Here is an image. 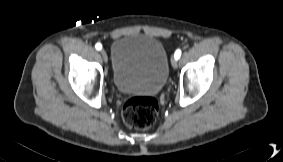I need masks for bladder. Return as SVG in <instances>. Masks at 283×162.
<instances>
[{
    "label": "bladder",
    "instance_id": "1",
    "mask_svg": "<svg viewBox=\"0 0 283 162\" xmlns=\"http://www.w3.org/2000/svg\"><path fill=\"white\" fill-rule=\"evenodd\" d=\"M111 75L122 94L154 95L165 86L169 61L163 44L145 34L124 35L111 49Z\"/></svg>",
    "mask_w": 283,
    "mask_h": 162
}]
</instances>
